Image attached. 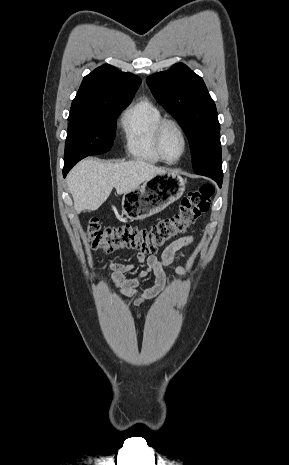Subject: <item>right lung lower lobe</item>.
<instances>
[{"label": "right lung lower lobe", "mask_w": 289, "mask_h": 465, "mask_svg": "<svg viewBox=\"0 0 289 465\" xmlns=\"http://www.w3.org/2000/svg\"><path fill=\"white\" fill-rule=\"evenodd\" d=\"M79 160H73V161H65L64 162V168H63V176L66 177L67 173L69 170L78 162Z\"/></svg>", "instance_id": "obj_1"}]
</instances>
